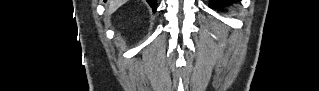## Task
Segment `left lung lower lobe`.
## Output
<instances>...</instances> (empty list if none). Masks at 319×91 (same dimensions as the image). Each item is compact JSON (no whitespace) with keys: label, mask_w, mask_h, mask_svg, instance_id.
Here are the masks:
<instances>
[{"label":"left lung lower lobe","mask_w":319,"mask_h":91,"mask_svg":"<svg viewBox=\"0 0 319 91\" xmlns=\"http://www.w3.org/2000/svg\"><path fill=\"white\" fill-rule=\"evenodd\" d=\"M237 2V0H210L209 6L211 8H219L227 5H231L232 3Z\"/></svg>","instance_id":"left-lung-lower-lobe-1"}]
</instances>
